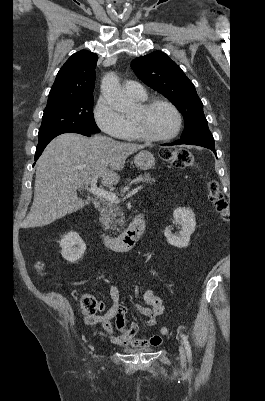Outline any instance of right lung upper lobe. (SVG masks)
I'll use <instances>...</instances> for the list:
<instances>
[{
  "label": "right lung upper lobe",
  "instance_id": "obj_1",
  "mask_svg": "<svg viewBox=\"0 0 265 401\" xmlns=\"http://www.w3.org/2000/svg\"><path fill=\"white\" fill-rule=\"evenodd\" d=\"M97 60L98 56L87 50L73 54L59 70L47 105L92 95Z\"/></svg>",
  "mask_w": 265,
  "mask_h": 401
}]
</instances>
